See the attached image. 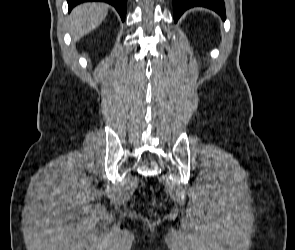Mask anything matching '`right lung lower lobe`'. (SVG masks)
<instances>
[{"label": "right lung lower lobe", "mask_w": 295, "mask_h": 250, "mask_svg": "<svg viewBox=\"0 0 295 250\" xmlns=\"http://www.w3.org/2000/svg\"><path fill=\"white\" fill-rule=\"evenodd\" d=\"M92 1L106 2L113 5L118 11V13L120 14L122 21H124L125 15H126L127 0H67L69 11H71V9L77 4H80L82 2H92Z\"/></svg>", "instance_id": "right-lung-lower-lobe-1"}]
</instances>
